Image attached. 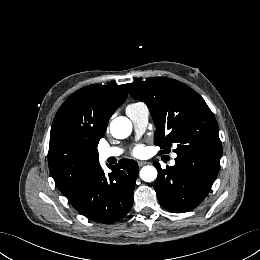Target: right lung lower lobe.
Returning a JSON list of instances; mask_svg holds the SVG:
<instances>
[{
    "instance_id": "1",
    "label": "right lung lower lobe",
    "mask_w": 260,
    "mask_h": 260,
    "mask_svg": "<svg viewBox=\"0 0 260 260\" xmlns=\"http://www.w3.org/2000/svg\"><path fill=\"white\" fill-rule=\"evenodd\" d=\"M108 167L112 170L108 176L99 166L68 199L79 213L99 223L115 222L129 212L138 175L137 162L131 159Z\"/></svg>"
}]
</instances>
